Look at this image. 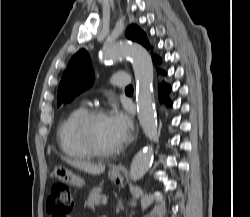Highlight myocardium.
I'll use <instances>...</instances> for the list:
<instances>
[{"label":"myocardium","mask_w":250,"mask_h":217,"mask_svg":"<svg viewBox=\"0 0 250 217\" xmlns=\"http://www.w3.org/2000/svg\"><path fill=\"white\" fill-rule=\"evenodd\" d=\"M106 112L102 108H94L88 110L77 123V135L83 146L95 156H113L119 153L122 149L121 146L105 149L100 147L93 138L92 125L94 121L102 116H105Z\"/></svg>","instance_id":"f54148a6"}]
</instances>
